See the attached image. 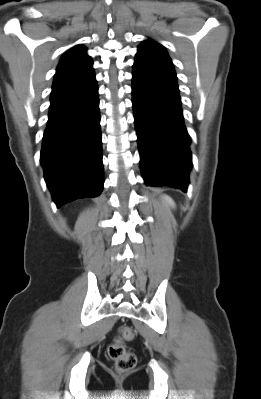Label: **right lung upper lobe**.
<instances>
[{"mask_svg": "<svg viewBox=\"0 0 261 399\" xmlns=\"http://www.w3.org/2000/svg\"><path fill=\"white\" fill-rule=\"evenodd\" d=\"M92 64L84 46L73 47L63 55L57 67L52 88L64 87L84 79L93 73Z\"/></svg>", "mask_w": 261, "mask_h": 399, "instance_id": "cb5924a9", "label": "right lung upper lobe"}]
</instances>
